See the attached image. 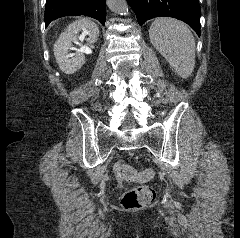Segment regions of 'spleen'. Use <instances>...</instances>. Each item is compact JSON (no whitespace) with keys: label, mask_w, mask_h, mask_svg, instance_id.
<instances>
[{"label":"spleen","mask_w":240,"mask_h":238,"mask_svg":"<svg viewBox=\"0 0 240 238\" xmlns=\"http://www.w3.org/2000/svg\"><path fill=\"white\" fill-rule=\"evenodd\" d=\"M151 43L182 78H188L195 66V39L181 21L158 18L149 29Z\"/></svg>","instance_id":"obj_1"}]
</instances>
